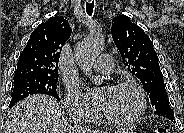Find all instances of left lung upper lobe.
Masks as SVG:
<instances>
[{
    "label": "left lung upper lobe",
    "instance_id": "left-lung-upper-lobe-1",
    "mask_svg": "<svg viewBox=\"0 0 184 133\" xmlns=\"http://www.w3.org/2000/svg\"><path fill=\"white\" fill-rule=\"evenodd\" d=\"M111 34L125 67L143 84L152 106L156 110L170 107L159 59L150 38L125 15L113 18Z\"/></svg>",
    "mask_w": 184,
    "mask_h": 133
}]
</instances>
